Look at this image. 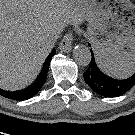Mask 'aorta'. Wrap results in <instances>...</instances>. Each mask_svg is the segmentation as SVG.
<instances>
[{"label":"aorta","mask_w":135,"mask_h":135,"mask_svg":"<svg viewBox=\"0 0 135 135\" xmlns=\"http://www.w3.org/2000/svg\"><path fill=\"white\" fill-rule=\"evenodd\" d=\"M73 58L77 64L86 66L91 62V52L85 45H77L73 49Z\"/></svg>","instance_id":"obj_1"}]
</instances>
